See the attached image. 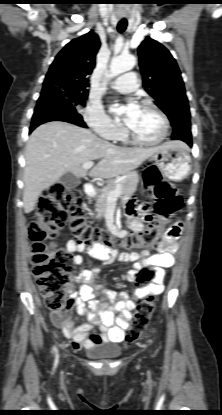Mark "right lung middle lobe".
Listing matches in <instances>:
<instances>
[{"instance_id":"obj_1","label":"right lung middle lobe","mask_w":222,"mask_h":415,"mask_svg":"<svg viewBox=\"0 0 222 415\" xmlns=\"http://www.w3.org/2000/svg\"><path fill=\"white\" fill-rule=\"evenodd\" d=\"M56 92H58L67 101H69L73 107L84 106L85 101L88 97V93L78 92L76 90L69 89V88L57 89Z\"/></svg>"}]
</instances>
